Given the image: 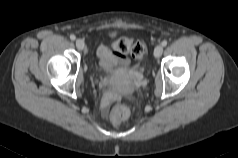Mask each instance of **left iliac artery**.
Wrapping results in <instances>:
<instances>
[{
  "instance_id": "1",
  "label": "left iliac artery",
  "mask_w": 238,
  "mask_h": 158,
  "mask_svg": "<svg viewBox=\"0 0 238 158\" xmlns=\"http://www.w3.org/2000/svg\"><path fill=\"white\" fill-rule=\"evenodd\" d=\"M167 45V41L166 40H164V41H162V46H166Z\"/></svg>"
}]
</instances>
